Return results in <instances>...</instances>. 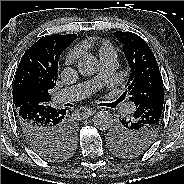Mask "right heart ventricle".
I'll return each instance as SVG.
<instances>
[{"label": "right heart ventricle", "mask_w": 184, "mask_h": 184, "mask_svg": "<svg viewBox=\"0 0 184 184\" xmlns=\"http://www.w3.org/2000/svg\"><path fill=\"white\" fill-rule=\"evenodd\" d=\"M97 50L101 60L117 57V50L110 42L107 41L101 42L98 45Z\"/></svg>", "instance_id": "obj_1"}]
</instances>
